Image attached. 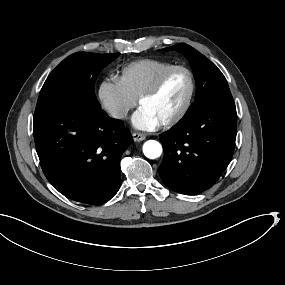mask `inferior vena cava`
Listing matches in <instances>:
<instances>
[{"label":"inferior vena cava","mask_w":285,"mask_h":285,"mask_svg":"<svg viewBox=\"0 0 285 285\" xmlns=\"http://www.w3.org/2000/svg\"><path fill=\"white\" fill-rule=\"evenodd\" d=\"M129 107L126 105L110 106L107 108L108 113L113 118L123 119L128 113Z\"/></svg>","instance_id":"inferior-vena-cava-1"}]
</instances>
